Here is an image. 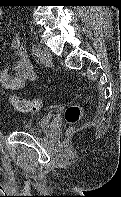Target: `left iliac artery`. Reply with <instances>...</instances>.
Masks as SVG:
<instances>
[{
  "instance_id": "left-iliac-artery-1",
  "label": "left iliac artery",
  "mask_w": 121,
  "mask_h": 197,
  "mask_svg": "<svg viewBox=\"0 0 121 197\" xmlns=\"http://www.w3.org/2000/svg\"><path fill=\"white\" fill-rule=\"evenodd\" d=\"M39 50H40V46L39 45H37V44H33L32 45V52H33V54L34 55H38V53H39Z\"/></svg>"
}]
</instances>
